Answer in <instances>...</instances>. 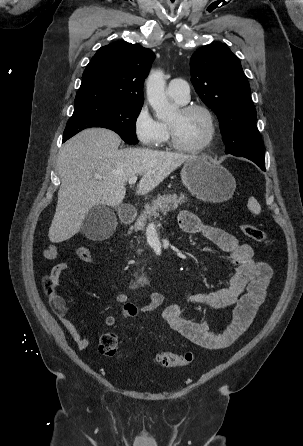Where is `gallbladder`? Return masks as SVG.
Segmentation results:
<instances>
[{
    "instance_id": "obj_1",
    "label": "gallbladder",
    "mask_w": 303,
    "mask_h": 446,
    "mask_svg": "<svg viewBox=\"0 0 303 446\" xmlns=\"http://www.w3.org/2000/svg\"><path fill=\"white\" fill-rule=\"evenodd\" d=\"M116 223L113 210L105 206H95L87 214L80 231L89 239L102 240L111 235Z\"/></svg>"
}]
</instances>
